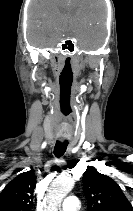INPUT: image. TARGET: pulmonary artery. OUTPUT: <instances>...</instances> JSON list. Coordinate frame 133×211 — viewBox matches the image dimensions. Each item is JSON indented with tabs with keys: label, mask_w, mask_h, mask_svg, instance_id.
<instances>
[{
	"label": "pulmonary artery",
	"mask_w": 133,
	"mask_h": 211,
	"mask_svg": "<svg viewBox=\"0 0 133 211\" xmlns=\"http://www.w3.org/2000/svg\"><path fill=\"white\" fill-rule=\"evenodd\" d=\"M79 200L76 196H68L62 203V211H79Z\"/></svg>",
	"instance_id": "e3ab8cb5"
}]
</instances>
